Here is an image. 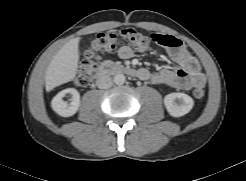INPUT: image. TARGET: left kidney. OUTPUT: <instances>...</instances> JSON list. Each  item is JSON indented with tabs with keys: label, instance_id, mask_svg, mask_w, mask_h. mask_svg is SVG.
I'll list each match as a JSON object with an SVG mask.
<instances>
[{
	"label": "left kidney",
	"instance_id": "obj_1",
	"mask_svg": "<svg viewBox=\"0 0 246 181\" xmlns=\"http://www.w3.org/2000/svg\"><path fill=\"white\" fill-rule=\"evenodd\" d=\"M164 104L171 116L181 117L190 112L194 106V101L187 94L171 93L164 97Z\"/></svg>",
	"mask_w": 246,
	"mask_h": 181
}]
</instances>
